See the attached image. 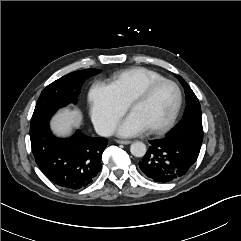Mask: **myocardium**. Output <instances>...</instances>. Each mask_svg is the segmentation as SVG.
Instances as JSON below:
<instances>
[{"label": "myocardium", "mask_w": 241, "mask_h": 241, "mask_svg": "<svg viewBox=\"0 0 241 241\" xmlns=\"http://www.w3.org/2000/svg\"><path fill=\"white\" fill-rule=\"evenodd\" d=\"M164 84H170L176 89L177 103H176V107L174 109V112H173L172 116L170 117V119L165 124H163L161 126L149 128V130L151 132L156 133V134H162V133H165V132L169 131L174 126V124L176 123V121L178 119V116L180 114V111H181L182 104H183V93H182V90H181L180 86L176 82H174L170 79L164 78V79H161V80H157V81L151 82L150 84L145 86L129 102V109L132 111L133 107L136 104L147 100L151 96V94L159 86L164 85Z\"/></svg>", "instance_id": "1"}]
</instances>
